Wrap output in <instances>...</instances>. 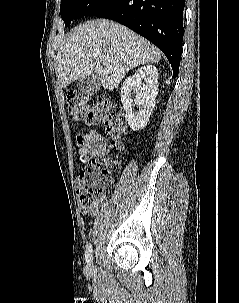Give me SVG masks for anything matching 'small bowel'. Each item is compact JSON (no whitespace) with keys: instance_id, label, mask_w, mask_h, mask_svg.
Returning <instances> with one entry per match:
<instances>
[{"instance_id":"small-bowel-1","label":"small bowel","mask_w":239,"mask_h":303,"mask_svg":"<svg viewBox=\"0 0 239 303\" xmlns=\"http://www.w3.org/2000/svg\"><path fill=\"white\" fill-rule=\"evenodd\" d=\"M75 143L78 148V154L82 163L87 160L103 157L108 154L106 138L95 131L79 132L75 136ZM79 210L83 215L94 216L97 214L96 206H85L79 203Z\"/></svg>"}]
</instances>
